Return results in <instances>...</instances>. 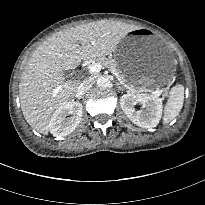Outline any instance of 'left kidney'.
Returning <instances> with one entry per match:
<instances>
[{"label":"left kidney","instance_id":"obj_1","mask_svg":"<svg viewBox=\"0 0 205 205\" xmlns=\"http://www.w3.org/2000/svg\"><path fill=\"white\" fill-rule=\"evenodd\" d=\"M140 103L145 109L137 111L135 105ZM123 112L132 123L141 128H154L162 117V99L145 93H128L120 98Z\"/></svg>","mask_w":205,"mask_h":205}]
</instances>
